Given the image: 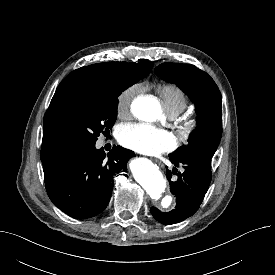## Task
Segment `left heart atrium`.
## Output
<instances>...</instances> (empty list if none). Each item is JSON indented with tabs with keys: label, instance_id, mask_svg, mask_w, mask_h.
<instances>
[{
	"label": "left heart atrium",
	"instance_id": "obj_1",
	"mask_svg": "<svg viewBox=\"0 0 275 275\" xmlns=\"http://www.w3.org/2000/svg\"><path fill=\"white\" fill-rule=\"evenodd\" d=\"M118 138L123 146L149 155L171 151L177 145L171 132L146 123L122 125Z\"/></svg>",
	"mask_w": 275,
	"mask_h": 275
}]
</instances>
